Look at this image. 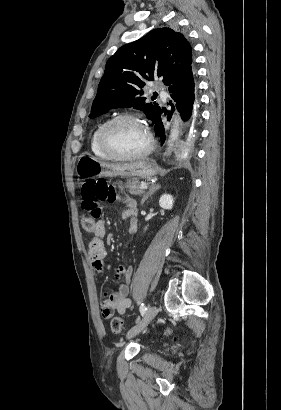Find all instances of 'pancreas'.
Masks as SVG:
<instances>
[{
    "label": "pancreas",
    "instance_id": "obj_1",
    "mask_svg": "<svg viewBox=\"0 0 281 410\" xmlns=\"http://www.w3.org/2000/svg\"><path fill=\"white\" fill-rule=\"evenodd\" d=\"M125 187L132 195H141L144 193L143 189H140V181L138 179H129L125 183Z\"/></svg>",
    "mask_w": 281,
    "mask_h": 410
}]
</instances>
